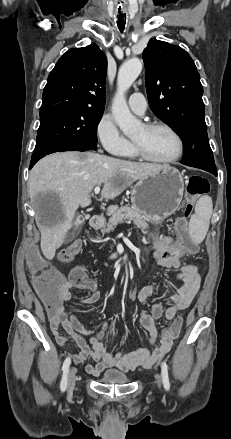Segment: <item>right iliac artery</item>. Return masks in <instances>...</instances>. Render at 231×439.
I'll return each mask as SVG.
<instances>
[{"label":"right iliac artery","instance_id":"82829eb1","mask_svg":"<svg viewBox=\"0 0 231 439\" xmlns=\"http://www.w3.org/2000/svg\"><path fill=\"white\" fill-rule=\"evenodd\" d=\"M71 364V359L70 357H67L63 363V375H62V379H61V383H60V389L62 392H64L67 388V374H68V370H69V366Z\"/></svg>","mask_w":231,"mask_h":439}]
</instances>
